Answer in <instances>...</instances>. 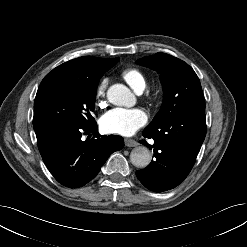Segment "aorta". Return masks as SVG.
I'll list each match as a JSON object with an SVG mask.
<instances>
[{"instance_id":"obj_1","label":"aorta","mask_w":247,"mask_h":247,"mask_svg":"<svg viewBox=\"0 0 247 247\" xmlns=\"http://www.w3.org/2000/svg\"><path fill=\"white\" fill-rule=\"evenodd\" d=\"M110 103L117 106H132L135 98L130 89L123 84H114L107 91ZM131 163L137 168H145L151 161L150 150L145 146H138L131 151Z\"/></svg>"}]
</instances>
